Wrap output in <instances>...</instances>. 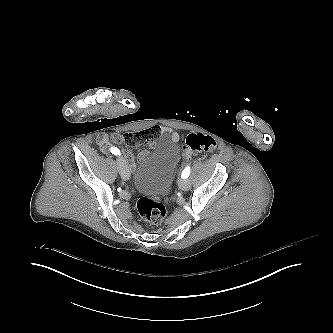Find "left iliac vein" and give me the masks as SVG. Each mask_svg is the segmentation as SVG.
I'll use <instances>...</instances> for the list:
<instances>
[{
    "mask_svg": "<svg viewBox=\"0 0 333 333\" xmlns=\"http://www.w3.org/2000/svg\"><path fill=\"white\" fill-rule=\"evenodd\" d=\"M178 186H179L182 190L186 191V190H189V189L191 188V183H190L189 180H179V181H178Z\"/></svg>",
    "mask_w": 333,
    "mask_h": 333,
    "instance_id": "left-iliac-vein-1",
    "label": "left iliac vein"
}]
</instances>
